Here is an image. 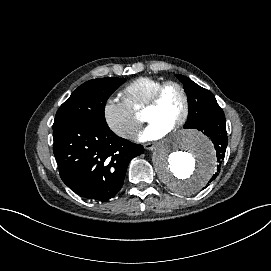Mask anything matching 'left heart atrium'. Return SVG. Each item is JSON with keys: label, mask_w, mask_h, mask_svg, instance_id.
Listing matches in <instances>:
<instances>
[{"label": "left heart atrium", "mask_w": 271, "mask_h": 271, "mask_svg": "<svg viewBox=\"0 0 271 271\" xmlns=\"http://www.w3.org/2000/svg\"><path fill=\"white\" fill-rule=\"evenodd\" d=\"M170 131L156 123H149L143 130L139 131L135 138L139 142L156 141L166 136Z\"/></svg>", "instance_id": "obj_1"}]
</instances>
